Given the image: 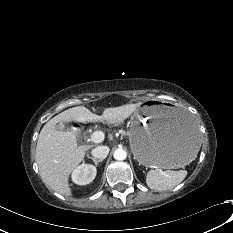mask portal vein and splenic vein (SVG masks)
<instances>
[{
    "mask_svg": "<svg viewBox=\"0 0 233 233\" xmlns=\"http://www.w3.org/2000/svg\"><path fill=\"white\" fill-rule=\"evenodd\" d=\"M104 140V133L102 131H95L91 135V141L93 143H100Z\"/></svg>",
    "mask_w": 233,
    "mask_h": 233,
    "instance_id": "18ae733b",
    "label": "portal vein and splenic vein"
}]
</instances>
